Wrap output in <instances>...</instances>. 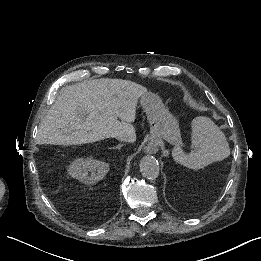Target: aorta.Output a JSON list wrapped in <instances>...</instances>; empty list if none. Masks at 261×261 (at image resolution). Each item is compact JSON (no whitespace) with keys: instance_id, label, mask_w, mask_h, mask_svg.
<instances>
[{"instance_id":"aorta-1","label":"aorta","mask_w":261,"mask_h":261,"mask_svg":"<svg viewBox=\"0 0 261 261\" xmlns=\"http://www.w3.org/2000/svg\"><path fill=\"white\" fill-rule=\"evenodd\" d=\"M142 175L150 180L156 179L159 176V163L153 156H144L139 164Z\"/></svg>"}]
</instances>
